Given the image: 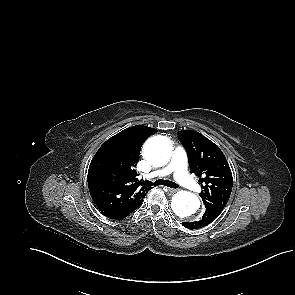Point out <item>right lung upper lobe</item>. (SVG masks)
I'll list each match as a JSON object with an SVG mask.
<instances>
[{
	"label": "right lung upper lobe",
	"instance_id": "right-lung-upper-lobe-1",
	"mask_svg": "<svg viewBox=\"0 0 295 295\" xmlns=\"http://www.w3.org/2000/svg\"><path fill=\"white\" fill-rule=\"evenodd\" d=\"M157 130L137 125L109 138L93 157L88 170L92 199L104 213L116 214L142 204L152 188L137 182L136 166L143 142Z\"/></svg>",
	"mask_w": 295,
	"mask_h": 295
}]
</instances>
